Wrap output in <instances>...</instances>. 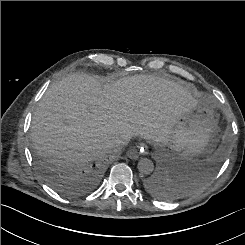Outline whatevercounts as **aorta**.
Segmentation results:
<instances>
[{"instance_id": "762f6f07", "label": "aorta", "mask_w": 245, "mask_h": 245, "mask_svg": "<svg viewBox=\"0 0 245 245\" xmlns=\"http://www.w3.org/2000/svg\"><path fill=\"white\" fill-rule=\"evenodd\" d=\"M138 170L143 175H149L154 170V164L150 159L142 158L138 162Z\"/></svg>"}]
</instances>
